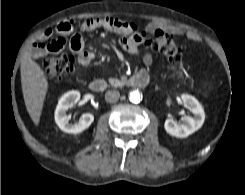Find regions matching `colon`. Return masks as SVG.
Here are the masks:
<instances>
[{
	"label": "colon",
	"mask_w": 245,
	"mask_h": 195,
	"mask_svg": "<svg viewBox=\"0 0 245 195\" xmlns=\"http://www.w3.org/2000/svg\"><path fill=\"white\" fill-rule=\"evenodd\" d=\"M146 45L154 51L163 53L170 63L176 65L182 61L180 46L172 36L155 31L153 38ZM45 75L49 79H63L71 76L75 69V57L73 55H62L60 57L48 58L43 63Z\"/></svg>",
	"instance_id": "colon-1"
}]
</instances>
